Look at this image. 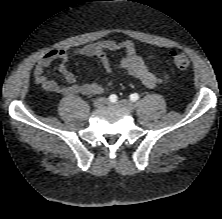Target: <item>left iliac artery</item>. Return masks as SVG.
Wrapping results in <instances>:
<instances>
[{"instance_id":"1","label":"left iliac artery","mask_w":222,"mask_h":219,"mask_svg":"<svg viewBox=\"0 0 222 219\" xmlns=\"http://www.w3.org/2000/svg\"><path fill=\"white\" fill-rule=\"evenodd\" d=\"M139 99V95L137 93H133L130 95V100L135 102Z\"/></svg>"}]
</instances>
